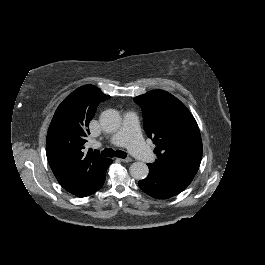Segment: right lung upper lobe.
<instances>
[{
    "label": "right lung upper lobe",
    "mask_w": 265,
    "mask_h": 265,
    "mask_svg": "<svg viewBox=\"0 0 265 265\" xmlns=\"http://www.w3.org/2000/svg\"><path fill=\"white\" fill-rule=\"evenodd\" d=\"M110 98L93 85L73 91L57 108L46 139L48 163L59 184L68 192L84 197L105 181L112 160L96 152L82 151L87 129L98 104Z\"/></svg>",
    "instance_id": "1"
}]
</instances>
